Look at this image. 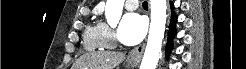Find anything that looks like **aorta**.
<instances>
[{"label": "aorta", "instance_id": "aorta-1", "mask_svg": "<svg viewBox=\"0 0 246 69\" xmlns=\"http://www.w3.org/2000/svg\"><path fill=\"white\" fill-rule=\"evenodd\" d=\"M124 0H107L105 16L111 26L118 24ZM166 0H151V23L148 41L140 69H156L164 38L166 24Z\"/></svg>", "mask_w": 246, "mask_h": 69}]
</instances>
